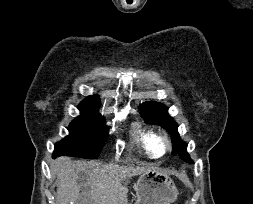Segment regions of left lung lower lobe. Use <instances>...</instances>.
Returning <instances> with one entry per match:
<instances>
[{
  "label": "left lung lower lobe",
  "mask_w": 253,
  "mask_h": 204,
  "mask_svg": "<svg viewBox=\"0 0 253 204\" xmlns=\"http://www.w3.org/2000/svg\"><path fill=\"white\" fill-rule=\"evenodd\" d=\"M187 162H191L190 157L186 160Z\"/></svg>",
  "instance_id": "0a47b994"
}]
</instances>
